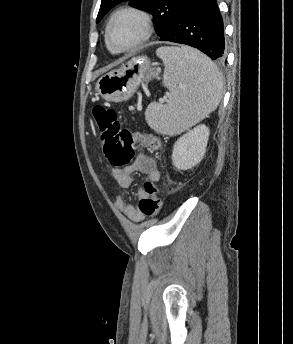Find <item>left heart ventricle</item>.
Returning <instances> with one entry per match:
<instances>
[{
	"label": "left heart ventricle",
	"instance_id": "b2bd125f",
	"mask_svg": "<svg viewBox=\"0 0 293 344\" xmlns=\"http://www.w3.org/2000/svg\"><path fill=\"white\" fill-rule=\"evenodd\" d=\"M140 34L139 21L132 15H122L111 26L110 40L115 48H123L137 41Z\"/></svg>",
	"mask_w": 293,
	"mask_h": 344
}]
</instances>
